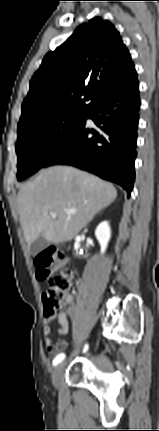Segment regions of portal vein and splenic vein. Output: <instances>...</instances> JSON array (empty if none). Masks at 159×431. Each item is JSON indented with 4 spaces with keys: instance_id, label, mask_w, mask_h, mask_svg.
<instances>
[{
    "instance_id": "portal-vein-and-splenic-vein-1",
    "label": "portal vein and splenic vein",
    "mask_w": 159,
    "mask_h": 431,
    "mask_svg": "<svg viewBox=\"0 0 159 431\" xmlns=\"http://www.w3.org/2000/svg\"><path fill=\"white\" fill-rule=\"evenodd\" d=\"M77 211L76 210H74V209H68V210H66V213L67 214H74V213H76ZM50 215H51V217L52 218H56V216H57V214L55 213V212H51L50 213Z\"/></svg>"
}]
</instances>
